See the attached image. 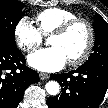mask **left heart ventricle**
Returning <instances> with one entry per match:
<instances>
[{
    "label": "left heart ventricle",
    "instance_id": "b2bd125f",
    "mask_svg": "<svg viewBox=\"0 0 108 108\" xmlns=\"http://www.w3.org/2000/svg\"><path fill=\"white\" fill-rule=\"evenodd\" d=\"M87 41V29L82 24H78L63 36H51L49 44L59 47L65 54L67 60H70L83 52Z\"/></svg>",
    "mask_w": 108,
    "mask_h": 108
}]
</instances>
